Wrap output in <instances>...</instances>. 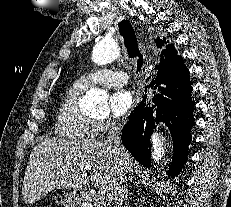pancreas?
<instances>
[{
	"mask_svg": "<svg viewBox=\"0 0 231 207\" xmlns=\"http://www.w3.org/2000/svg\"><path fill=\"white\" fill-rule=\"evenodd\" d=\"M87 207H106L102 202L93 199L91 203L87 204Z\"/></svg>",
	"mask_w": 231,
	"mask_h": 207,
	"instance_id": "obj_1",
	"label": "pancreas"
}]
</instances>
